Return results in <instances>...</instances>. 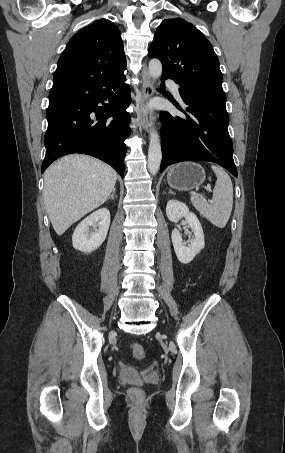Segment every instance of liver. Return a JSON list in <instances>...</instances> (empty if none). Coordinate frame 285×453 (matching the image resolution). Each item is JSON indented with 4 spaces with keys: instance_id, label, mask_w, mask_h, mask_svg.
<instances>
[{
    "instance_id": "liver-1",
    "label": "liver",
    "mask_w": 285,
    "mask_h": 453,
    "mask_svg": "<svg viewBox=\"0 0 285 453\" xmlns=\"http://www.w3.org/2000/svg\"><path fill=\"white\" fill-rule=\"evenodd\" d=\"M117 180L116 171L90 156L72 154L44 174V202L51 224L62 235L73 223L102 205Z\"/></svg>"
}]
</instances>
